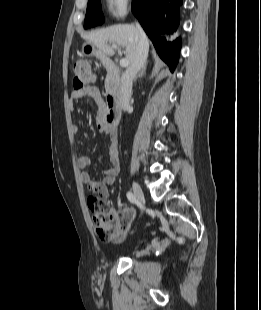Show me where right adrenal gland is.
I'll return each instance as SVG.
<instances>
[{"label":"right adrenal gland","instance_id":"1","mask_svg":"<svg viewBox=\"0 0 261 310\" xmlns=\"http://www.w3.org/2000/svg\"><path fill=\"white\" fill-rule=\"evenodd\" d=\"M146 68H147V63H145L144 67L139 71V73L136 75L134 81H136L138 78L145 77L146 75Z\"/></svg>","mask_w":261,"mask_h":310}]
</instances>
